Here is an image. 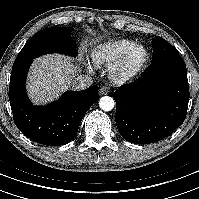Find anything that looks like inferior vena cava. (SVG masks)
<instances>
[{"label": "inferior vena cava", "mask_w": 199, "mask_h": 199, "mask_svg": "<svg viewBox=\"0 0 199 199\" xmlns=\"http://www.w3.org/2000/svg\"><path fill=\"white\" fill-rule=\"evenodd\" d=\"M92 83H93L92 77L88 75H79L72 81L71 85L76 90H83L90 87Z\"/></svg>", "instance_id": "inferior-vena-cava-1"}]
</instances>
